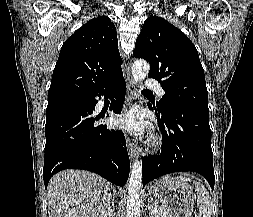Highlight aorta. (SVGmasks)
<instances>
[{
	"instance_id": "1",
	"label": "aorta",
	"mask_w": 253,
	"mask_h": 217,
	"mask_svg": "<svg viewBox=\"0 0 253 217\" xmlns=\"http://www.w3.org/2000/svg\"><path fill=\"white\" fill-rule=\"evenodd\" d=\"M150 66L144 60H136L132 65L134 82L141 83L148 75ZM142 195V162L136 160L131 166L128 180V194L126 205V217H140V204Z\"/></svg>"
}]
</instances>
